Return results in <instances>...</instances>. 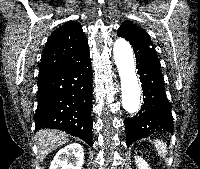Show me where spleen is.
<instances>
[{
    "instance_id": "3e777b00",
    "label": "spleen",
    "mask_w": 200,
    "mask_h": 169,
    "mask_svg": "<svg viewBox=\"0 0 200 169\" xmlns=\"http://www.w3.org/2000/svg\"><path fill=\"white\" fill-rule=\"evenodd\" d=\"M154 146L158 152V155L161 157V158H164L167 154V145L166 143H164L163 141H160V140H155L154 141Z\"/></svg>"
}]
</instances>
